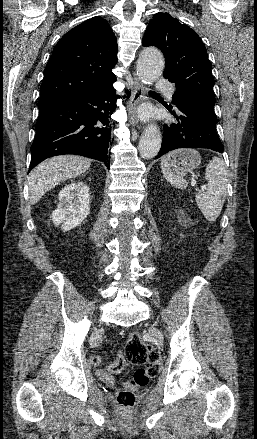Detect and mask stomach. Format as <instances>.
Listing matches in <instances>:
<instances>
[{"mask_svg":"<svg viewBox=\"0 0 257 439\" xmlns=\"http://www.w3.org/2000/svg\"><path fill=\"white\" fill-rule=\"evenodd\" d=\"M201 162L200 154L194 149H178L170 153V169L182 177L187 172L196 169Z\"/></svg>","mask_w":257,"mask_h":439,"instance_id":"obj_1","label":"stomach"}]
</instances>
